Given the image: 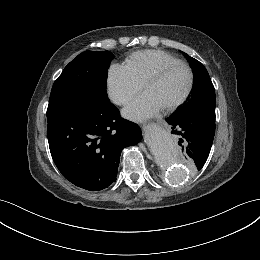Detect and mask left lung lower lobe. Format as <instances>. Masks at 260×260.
I'll use <instances>...</instances> for the list:
<instances>
[{"label": "left lung lower lobe", "mask_w": 260, "mask_h": 260, "mask_svg": "<svg viewBox=\"0 0 260 260\" xmlns=\"http://www.w3.org/2000/svg\"><path fill=\"white\" fill-rule=\"evenodd\" d=\"M166 121L179 137L178 144L190 166L201 170L214 139L215 113L198 110L175 113Z\"/></svg>", "instance_id": "1"}]
</instances>
